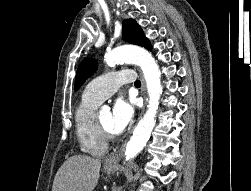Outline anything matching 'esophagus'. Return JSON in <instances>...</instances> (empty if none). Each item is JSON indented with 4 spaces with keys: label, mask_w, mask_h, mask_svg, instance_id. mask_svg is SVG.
<instances>
[{
    "label": "esophagus",
    "mask_w": 251,
    "mask_h": 191,
    "mask_svg": "<svg viewBox=\"0 0 251 191\" xmlns=\"http://www.w3.org/2000/svg\"><path fill=\"white\" fill-rule=\"evenodd\" d=\"M140 77H141V82H142V88H141V92L144 96V106L142 108V111L140 113V117H142L143 113H144V110H145V107H146V84H145V80H144V77L142 75V73L140 72ZM120 157L119 155H115V156H112L111 158H108L105 162V164L109 167H115L117 164H118V161H119Z\"/></svg>",
    "instance_id": "34e87169"
}]
</instances>
